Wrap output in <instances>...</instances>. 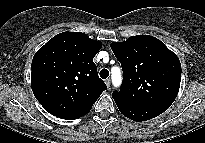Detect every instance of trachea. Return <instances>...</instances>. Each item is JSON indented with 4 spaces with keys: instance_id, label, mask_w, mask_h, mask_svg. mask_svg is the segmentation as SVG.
Here are the masks:
<instances>
[{
    "instance_id": "1",
    "label": "trachea",
    "mask_w": 205,
    "mask_h": 143,
    "mask_svg": "<svg viewBox=\"0 0 205 143\" xmlns=\"http://www.w3.org/2000/svg\"><path fill=\"white\" fill-rule=\"evenodd\" d=\"M108 76H109V71H108L107 69H102V70L100 71V77H101L102 79H106Z\"/></svg>"
}]
</instances>
